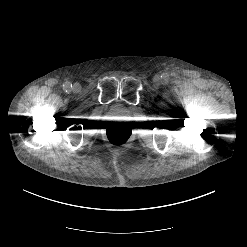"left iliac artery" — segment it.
Wrapping results in <instances>:
<instances>
[{
  "mask_svg": "<svg viewBox=\"0 0 247 247\" xmlns=\"http://www.w3.org/2000/svg\"><path fill=\"white\" fill-rule=\"evenodd\" d=\"M163 80H164V81H167V80H168V75L164 74V75H163Z\"/></svg>",
  "mask_w": 247,
  "mask_h": 247,
  "instance_id": "left-iliac-artery-1",
  "label": "left iliac artery"
}]
</instances>
